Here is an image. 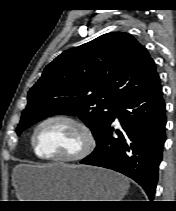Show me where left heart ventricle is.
<instances>
[{
	"instance_id": "1",
	"label": "left heart ventricle",
	"mask_w": 176,
	"mask_h": 211,
	"mask_svg": "<svg viewBox=\"0 0 176 211\" xmlns=\"http://www.w3.org/2000/svg\"><path fill=\"white\" fill-rule=\"evenodd\" d=\"M36 145L42 156H71L82 148L83 136L74 125L54 121L40 128L36 137Z\"/></svg>"
}]
</instances>
